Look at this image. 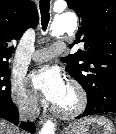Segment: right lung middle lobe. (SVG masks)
Instances as JSON below:
<instances>
[{
    "label": "right lung middle lobe",
    "instance_id": "obj_1",
    "mask_svg": "<svg viewBox=\"0 0 116 134\" xmlns=\"http://www.w3.org/2000/svg\"><path fill=\"white\" fill-rule=\"evenodd\" d=\"M10 74L9 66L0 68V109L13 103L10 96Z\"/></svg>",
    "mask_w": 116,
    "mask_h": 134
}]
</instances>
